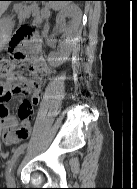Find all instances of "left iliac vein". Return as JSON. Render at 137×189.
Segmentation results:
<instances>
[{
	"label": "left iliac vein",
	"mask_w": 137,
	"mask_h": 189,
	"mask_svg": "<svg viewBox=\"0 0 137 189\" xmlns=\"http://www.w3.org/2000/svg\"><path fill=\"white\" fill-rule=\"evenodd\" d=\"M14 184H15V178H14V170H13L7 179V185L14 186Z\"/></svg>",
	"instance_id": "4c4485c4"
}]
</instances>
